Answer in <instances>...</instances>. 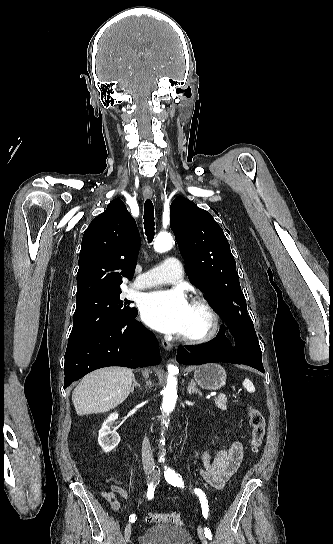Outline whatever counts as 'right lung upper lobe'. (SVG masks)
<instances>
[{"label":"right lung upper lobe","instance_id":"1","mask_svg":"<svg viewBox=\"0 0 333 544\" xmlns=\"http://www.w3.org/2000/svg\"><path fill=\"white\" fill-rule=\"evenodd\" d=\"M138 250L136 222L125 204L116 198L84 232L76 299L120 290L122 278L133 277Z\"/></svg>","mask_w":333,"mask_h":544}]
</instances>
